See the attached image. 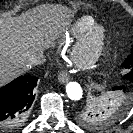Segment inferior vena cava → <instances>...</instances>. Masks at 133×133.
I'll use <instances>...</instances> for the list:
<instances>
[{"label": "inferior vena cava", "instance_id": "602c4592", "mask_svg": "<svg viewBox=\"0 0 133 133\" xmlns=\"http://www.w3.org/2000/svg\"><path fill=\"white\" fill-rule=\"evenodd\" d=\"M45 61H46V58L43 51L35 52L31 54L28 58L29 65H40L45 63Z\"/></svg>", "mask_w": 133, "mask_h": 133}]
</instances>
